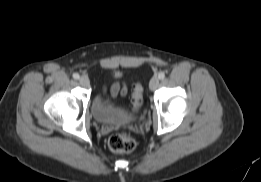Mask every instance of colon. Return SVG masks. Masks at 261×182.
I'll list each match as a JSON object with an SVG mask.
<instances>
[{"label":"colon","instance_id":"1","mask_svg":"<svg viewBox=\"0 0 261 182\" xmlns=\"http://www.w3.org/2000/svg\"><path fill=\"white\" fill-rule=\"evenodd\" d=\"M142 103V87L140 84H135L132 91V110L137 112ZM108 147L115 153H126L134 150L136 141L134 137L128 133H119L112 135L108 139Z\"/></svg>","mask_w":261,"mask_h":182}]
</instances>
